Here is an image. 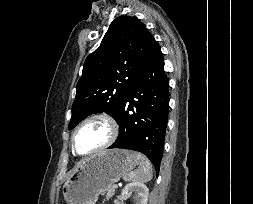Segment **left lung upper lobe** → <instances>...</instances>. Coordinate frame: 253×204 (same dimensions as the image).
Instances as JSON below:
<instances>
[{"mask_svg":"<svg viewBox=\"0 0 253 204\" xmlns=\"http://www.w3.org/2000/svg\"><path fill=\"white\" fill-rule=\"evenodd\" d=\"M156 45L138 18L120 16L113 20L100 46L84 62L68 129L98 112L117 120Z\"/></svg>","mask_w":253,"mask_h":204,"instance_id":"1","label":"left lung upper lobe"}]
</instances>
